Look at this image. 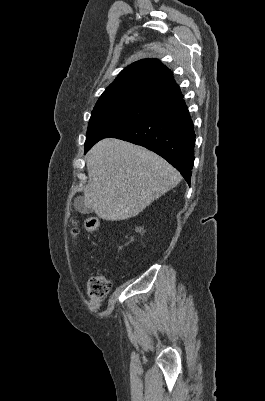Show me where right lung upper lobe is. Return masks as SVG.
<instances>
[{
    "instance_id": "right-lung-upper-lobe-1",
    "label": "right lung upper lobe",
    "mask_w": 265,
    "mask_h": 401,
    "mask_svg": "<svg viewBox=\"0 0 265 401\" xmlns=\"http://www.w3.org/2000/svg\"><path fill=\"white\" fill-rule=\"evenodd\" d=\"M172 72L157 59H143L123 69L95 106L146 101L162 106L182 99Z\"/></svg>"
}]
</instances>
